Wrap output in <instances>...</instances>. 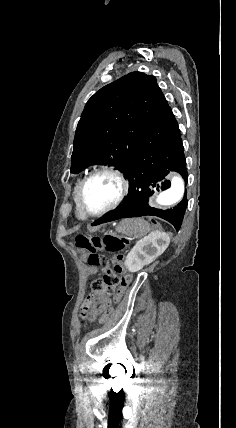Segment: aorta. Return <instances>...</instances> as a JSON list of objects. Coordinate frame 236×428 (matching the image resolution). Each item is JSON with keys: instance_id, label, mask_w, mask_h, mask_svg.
<instances>
[{"instance_id": "aorta-1", "label": "aorta", "mask_w": 236, "mask_h": 428, "mask_svg": "<svg viewBox=\"0 0 236 428\" xmlns=\"http://www.w3.org/2000/svg\"><path fill=\"white\" fill-rule=\"evenodd\" d=\"M184 194V181L181 176L174 175L171 179V187L161 192L156 202L163 206H169L177 203Z\"/></svg>"}]
</instances>
